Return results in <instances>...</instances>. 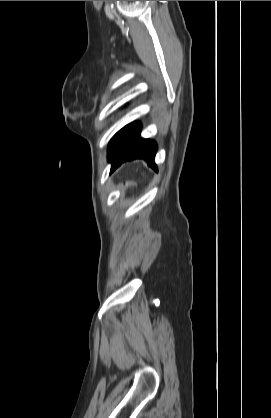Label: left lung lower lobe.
I'll list each match as a JSON object with an SVG mask.
<instances>
[{"label":"left lung lower lobe","mask_w":271,"mask_h":418,"mask_svg":"<svg viewBox=\"0 0 271 418\" xmlns=\"http://www.w3.org/2000/svg\"><path fill=\"white\" fill-rule=\"evenodd\" d=\"M141 125L133 122L111 139L108 147V161L111 162V172L123 162L133 159H144L148 165L156 168L155 154L157 145L154 141L140 137Z\"/></svg>","instance_id":"left-lung-lower-lobe-1"}]
</instances>
